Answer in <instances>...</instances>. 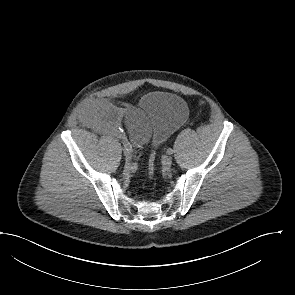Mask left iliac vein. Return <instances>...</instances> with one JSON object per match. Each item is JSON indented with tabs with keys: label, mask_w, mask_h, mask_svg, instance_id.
<instances>
[{
	"label": "left iliac vein",
	"mask_w": 295,
	"mask_h": 295,
	"mask_svg": "<svg viewBox=\"0 0 295 295\" xmlns=\"http://www.w3.org/2000/svg\"><path fill=\"white\" fill-rule=\"evenodd\" d=\"M163 165L166 169H169L172 165V158L170 157L165 158Z\"/></svg>",
	"instance_id": "4c4485c4"
}]
</instances>
